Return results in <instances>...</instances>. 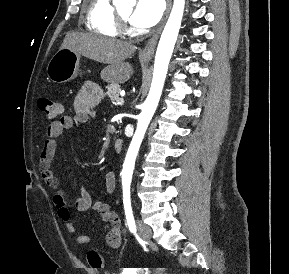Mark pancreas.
I'll return each mask as SVG.
<instances>
[{
	"instance_id": "obj_1",
	"label": "pancreas",
	"mask_w": 289,
	"mask_h": 274,
	"mask_svg": "<svg viewBox=\"0 0 289 274\" xmlns=\"http://www.w3.org/2000/svg\"><path fill=\"white\" fill-rule=\"evenodd\" d=\"M120 85L119 84H110L109 86H107V92L106 94L108 95V97L111 99V101H116L119 98V94H120Z\"/></svg>"
}]
</instances>
